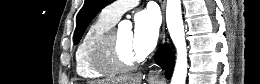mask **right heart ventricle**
<instances>
[{
    "label": "right heart ventricle",
    "mask_w": 260,
    "mask_h": 84,
    "mask_svg": "<svg viewBox=\"0 0 260 84\" xmlns=\"http://www.w3.org/2000/svg\"><path fill=\"white\" fill-rule=\"evenodd\" d=\"M114 24L115 22L110 20L102 11L85 32L75 55L76 72L80 77L92 80L107 75L94 67V49L98 39Z\"/></svg>",
    "instance_id": "obj_1"
}]
</instances>
